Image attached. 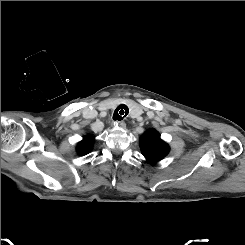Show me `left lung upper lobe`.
Wrapping results in <instances>:
<instances>
[{
    "instance_id": "left-lung-upper-lobe-1",
    "label": "left lung upper lobe",
    "mask_w": 245,
    "mask_h": 245,
    "mask_svg": "<svg viewBox=\"0 0 245 245\" xmlns=\"http://www.w3.org/2000/svg\"><path fill=\"white\" fill-rule=\"evenodd\" d=\"M142 154L149 163L162 160L169 152L168 144L163 141L155 129L146 131L140 139Z\"/></svg>"
}]
</instances>
